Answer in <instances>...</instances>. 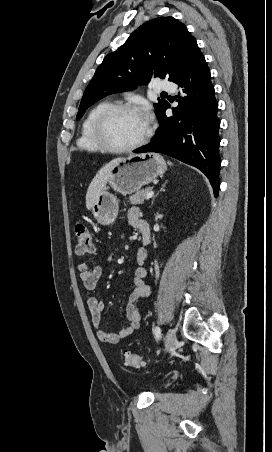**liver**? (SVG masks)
<instances>
[{
  "label": "liver",
  "mask_w": 272,
  "mask_h": 452,
  "mask_svg": "<svg viewBox=\"0 0 272 452\" xmlns=\"http://www.w3.org/2000/svg\"><path fill=\"white\" fill-rule=\"evenodd\" d=\"M120 158L110 161L103 166L91 181L86 194V207L91 210L97 196L103 191L109 178L110 172Z\"/></svg>",
  "instance_id": "1"
}]
</instances>
